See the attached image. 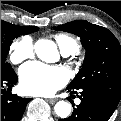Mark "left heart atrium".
I'll return each instance as SVG.
<instances>
[{"label": "left heart atrium", "mask_w": 121, "mask_h": 121, "mask_svg": "<svg viewBox=\"0 0 121 121\" xmlns=\"http://www.w3.org/2000/svg\"><path fill=\"white\" fill-rule=\"evenodd\" d=\"M21 86L26 93L48 96L67 82L66 72L58 66L31 62L20 70Z\"/></svg>", "instance_id": "left-heart-atrium-1"}]
</instances>
